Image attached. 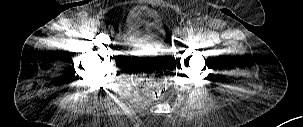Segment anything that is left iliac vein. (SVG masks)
Returning <instances> with one entry per match:
<instances>
[{"label":"left iliac vein","instance_id":"left-iliac-vein-1","mask_svg":"<svg viewBox=\"0 0 303 127\" xmlns=\"http://www.w3.org/2000/svg\"><path fill=\"white\" fill-rule=\"evenodd\" d=\"M186 33H187V30H186V29H183V30H182V34L185 35Z\"/></svg>","mask_w":303,"mask_h":127}]
</instances>
